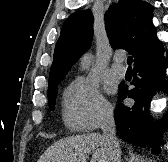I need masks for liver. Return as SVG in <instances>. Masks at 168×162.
<instances>
[{
    "mask_svg": "<svg viewBox=\"0 0 168 162\" xmlns=\"http://www.w3.org/2000/svg\"><path fill=\"white\" fill-rule=\"evenodd\" d=\"M110 162L102 135L90 133L67 137L51 145L37 162Z\"/></svg>",
    "mask_w": 168,
    "mask_h": 162,
    "instance_id": "obj_1",
    "label": "liver"
}]
</instances>
